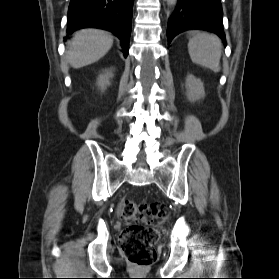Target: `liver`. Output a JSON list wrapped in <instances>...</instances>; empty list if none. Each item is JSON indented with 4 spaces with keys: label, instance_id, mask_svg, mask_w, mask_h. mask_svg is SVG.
I'll list each match as a JSON object with an SVG mask.
<instances>
[{
    "label": "liver",
    "instance_id": "obj_1",
    "mask_svg": "<svg viewBox=\"0 0 279 279\" xmlns=\"http://www.w3.org/2000/svg\"><path fill=\"white\" fill-rule=\"evenodd\" d=\"M113 38L99 29L77 31L68 45L66 59L75 69L90 65L101 59L112 47Z\"/></svg>",
    "mask_w": 279,
    "mask_h": 279
}]
</instances>
